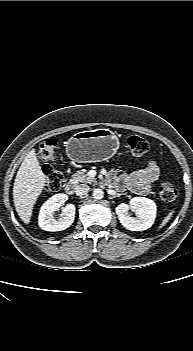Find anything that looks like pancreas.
<instances>
[{
    "label": "pancreas",
    "instance_id": "obj_1",
    "mask_svg": "<svg viewBox=\"0 0 193 351\" xmlns=\"http://www.w3.org/2000/svg\"><path fill=\"white\" fill-rule=\"evenodd\" d=\"M70 182L74 185H77L78 183H95L96 179L89 176L88 173H85L84 171H78L77 173L72 175V179Z\"/></svg>",
    "mask_w": 193,
    "mask_h": 351
}]
</instances>
